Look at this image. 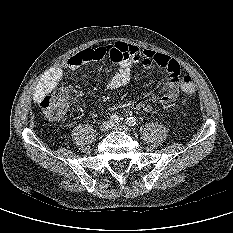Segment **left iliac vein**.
Returning a JSON list of instances; mask_svg holds the SVG:
<instances>
[{"label":"left iliac vein","instance_id":"left-iliac-vein-1","mask_svg":"<svg viewBox=\"0 0 233 233\" xmlns=\"http://www.w3.org/2000/svg\"><path fill=\"white\" fill-rule=\"evenodd\" d=\"M111 128L115 129V130H122V131H127V126L124 124H120V123H113Z\"/></svg>","mask_w":233,"mask_h":233}]
</instances>
